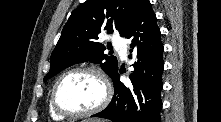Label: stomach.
<instances>
[{"label": "stomach", "mask_w": 221, "mask_h": 122, "mask_svg": "<svg viewBox=\"0 0 221 122\" xmlns=\"http://www.w3.org/2000/svg\"><path fill=\"white\" fill-rule=\"evenodd\" d=\"M81 122H105L104 120H99V119H86Z\"/></svg>", "instance_id": "obj_1"}]
</instances>
